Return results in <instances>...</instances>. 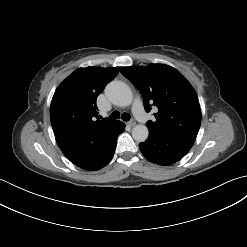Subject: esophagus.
Wrapping results in <instances>:
<instances>
[{
	"instance_id": "1",
	"label": "esophagus",
	"mask_w": 247,
	"mask_h": 247,
	"mask_svg": "<svg viewBox=\"0 0 247 247\" xmlns=\"http://www.w3.org/2000/svg\"><path fill=\"white\" fill-rule=\"evenodd\" d=\"M128 125L133 127V126L136 125V122L134 120H131V121L128 122Z\"/></svg>"
}]
</instances>
